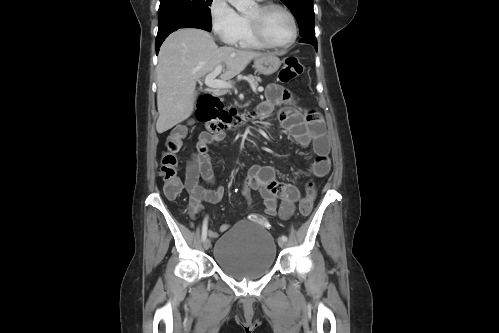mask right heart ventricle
<instances>
[{"instance_id": "1", "label": "right heart ventricle", "mask_w": 499, "mask_h": 333, "mask_svg": "<svg viewBox=\"0 0 499 333\" xmlns=\"http://www.w3.org/2000/svg\"><path fill=\"white\" fill-rule=\"evenodd\" d=\"M235 45H238L243 48L249 49H264L262 43H260L252 34L249 23L245 17H243V26L242 29L234 42Z\"/></svg>"}]
</instances>
